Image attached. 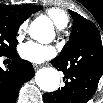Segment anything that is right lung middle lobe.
<instances>
[{"label": "right lung middle lobe", "mask_w": 103, "mask_h": 103, "mask_svg": "<svg viewBox=\"0 0 103 103\" xmlns=\"http://www.w3.org/2000/svg\"><path fill=\"white\" fill-rule=\"evenodd\" d=\"M22 22L23 20L15 19L0 12V56L16 53L18 41L15 37Z\"/></svg>", "instance_id": "1"}]
</instances>
